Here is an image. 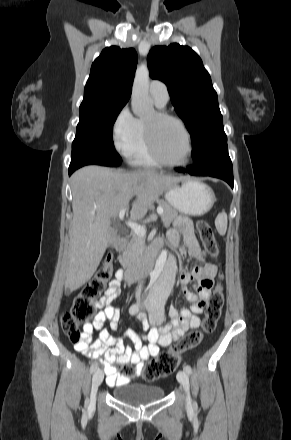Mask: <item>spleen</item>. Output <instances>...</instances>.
<instances>
[{"mask_svg":"<svg viewBox=\"0 0 291 440\" xmlns=\"http://www.w3.org/2000/svg\"><path fill=\"white\" fill-rule=\"evenodd\" d=\"M227 223H228L227 214L225 210H222V212L219 213L215 219L216 229L221 236H224L226 233Z\"/></svg>","mask_w":291,"mask_h":440,"instance_id":"obj_1","label":"spleen"}]
</instances>
